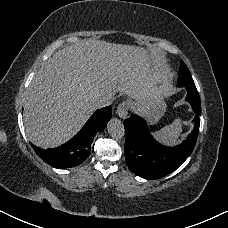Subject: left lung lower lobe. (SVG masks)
Masks as SVG:
<instances>
[{
    "mask_svg": "<svg viewBox=\"0 0 228 228\" xmlns=\"http://www.w3.org/2000/svg\"><path fill=\"white\" fill-rule=\"evenodd\" d=\"M184 87L187 89L186 101L196 115L194 129L182 144L174 147L161 145L151 136L146 121L138 115H131L124 121L125 160L129 169L139 177H164L182 165L192 153L199 132L201 103L194 82L188 81Z\"/></svg>",
    "mask_w": 228,
    "mask_h": 228,
    "instance_id": "1",
    "label": "left lung lower lobe"
}]
</instances>
